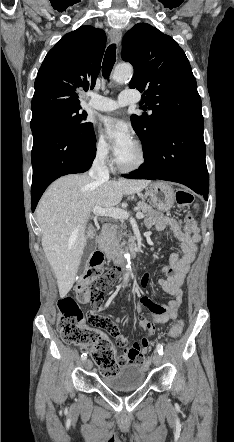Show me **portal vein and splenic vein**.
<instances>
[{
    "mask_svg": "<svg viewBox=\"0 0 234 442\" xmlns=\"http://www.w3.org/2000/svg\"><path fill=\"white\" fill-rule=\"evenodd\" d=\"M93 214L95 216H106V217H112L115 219H127L130 216V213L127 210H123L120 208H101L99 206H96L92 210ZM137 219L144 218V214L142 212L136 213Z\"/></svg>",
    "mask_w": 234,
    "mask_h": 442,
    "instance_id": "1",
    "label": "portal vein and splenic vein"
}]
</instances>
